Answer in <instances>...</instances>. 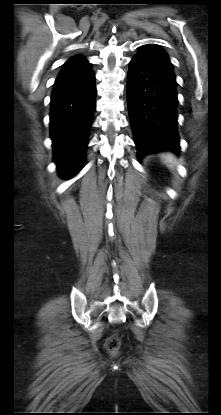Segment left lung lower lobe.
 Segmentation results:
<instances>
[{
    "label": "left lung lower lobe",
    "instance_id": "left-lung-lower-lobe-1",
    "mask_svg": "<svg viewBox=\"0 0 221 415\" xmlns=\"http://www.w3.org/2000/svg\"><path fill=\"white\" fill-rule=\"evenodd\" d=\"M176 85L174 73L151 57L129 63L127 106L139 161L159 151L179 153Z\"/></svg>",
    "mask_w": 221,
    "mask_h": 415
}]
</instances>
